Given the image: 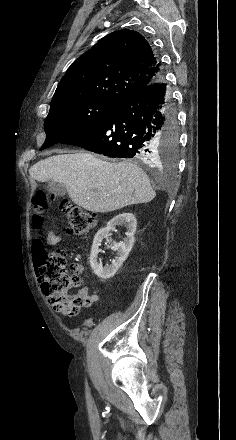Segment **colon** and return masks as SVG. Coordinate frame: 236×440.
Returning <instances> with one entry per match:
<instances>
[{"label":"colon","instance_id":"1","mask_svg":"<svg viewBox=\"0 0 236 440\" xmlns=\"http://www.w3.org/2000/svg\"><path fill=\"white\" fill-rule=\"evenodd\" d=\"M34 214L33 227L39 230L43 224L42 212L48 206L45 193L37 192L32 198ZM61 210L68 221V232L75 235H84L95 228L96 217L93 213L83 210L78 206L61 202ZM41 248L40 258L35 264L38 277L42 281V290L49 302L65 315H75L81 305L82 299L71 294L69 290L80 284L81 279L77 274H70L67 269L66 254L62 250L47 252L40 239L34 242Z\"/></svg>","mask_w":236,"mask_h":440}]
</instances>
